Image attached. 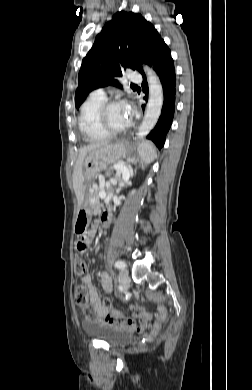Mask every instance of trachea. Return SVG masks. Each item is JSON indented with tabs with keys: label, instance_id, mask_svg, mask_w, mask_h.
Listing matches in <instances>:
<instances>
[{
	"label": "trachea",
	"instance_id": "1",
	"mask_svg": "<svg viewBox=\"0 0 252 390\" xmlns=\"http://www.w3.org/2000/svg\"><path fill=\"white\" fill-rule=\"evenodd\" d=\"M131 86H137V85H135V84H131Z\"/></svg>",
	"mask_w": 252,
	"mask_h": 390
}]
</instances>
